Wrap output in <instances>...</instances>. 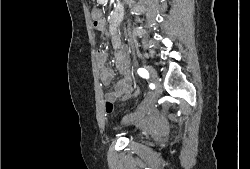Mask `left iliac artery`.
I'll use <instances>...</instances> for the list:
<instances>
[{
  "mask_svg": "<svg viewBox=\"0 0 250 169\" xmlns=\"http://www.w3.org/2000/svg\"><path fill=\"white\" fill-rule=\"evenodd\" d=\"M138 74L142 77V78H145V79H148L149 78V73L146 69L144 68H139L138 69Z\"/></svg>",
  "mask_w": 250,
  "mask_h": 169,
  "instance_id": "44dca946",
  "label": "left iliac artery"
}]
</instances>
